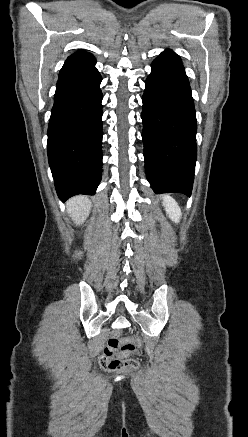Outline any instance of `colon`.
Instances as JSON below:
<instances>
[{"label": "colon", "mask_w": 248, "mask_h": 437, "mask_svg": "<svg viewBox=\"0 0 248 437\" xmlns=\"http://www.w3.org/2000/svg\"><path fill=\"white\" fill-rule=\"evenodd\" d=\"M141 354L139 337L122 339L111 337L100 358L102 369L112 372H129L138 367L137 357Z\"/></svg>", "instance_id": "colon-1"}]
</instances>
